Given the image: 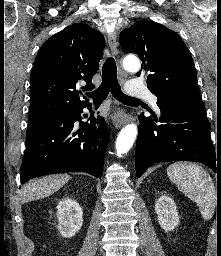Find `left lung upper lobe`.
Returning <instances> with one entry per match:
<instances>
[{"label":"left lung upper lobe","mask_w":221,"mask_h":256,"mask_svg":"<svg viewBox=\"0 0 221 256\" xmlns=\"http://www.w3.org/2000/svg\"><path fill=\"white\" fill-rule=\"evenodd\" d=\"M125 53L142 60L147 87L157 96V104L203 105L196 86V72L190 52L180 36L150 20H140L121 32Z\"/></svg>","instance_id":"1"}]
</instances>
